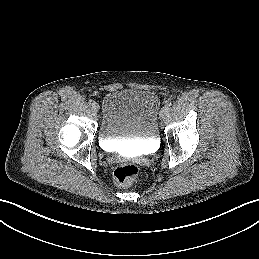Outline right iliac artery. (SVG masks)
<instances>
[{"label": "right iliac artery", "mask_w": 259, "mask_h": 259, "mask_svg": "<svg viewBox=\"0 0 259 259\" xmlns=\"http://www.w3.org/2000/svg\"><path fill=\"white\" fill-rule=\"evenodd\" d=\"M94 103H95L94 100H92V99L89 100V104H90V105H93Z\"/></svg>", "instance_id": "obj_1"}]
</instances>
